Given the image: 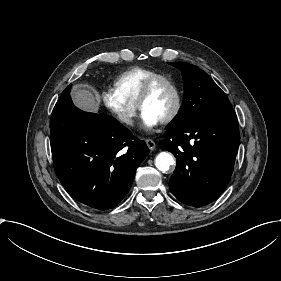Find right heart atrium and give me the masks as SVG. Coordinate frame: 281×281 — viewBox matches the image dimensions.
<instances>
[{
	"mask_svg": "<svg viewBox=\"0 0 281 281\" xmlns=\"http://www.w3.org/2000/svg\"><path fill=\"white\" fill-rule=\"evenodd\" d=\"M101 98L105 106L116 119L127 127H132L137 121V106L124 100L114 88L104 89Z\"/></svg>",
	"mask_w": 281,
	"mask_h": 281,
	"instance_id": "right-heart-atrium-1",
	"label": "right heart atrium"
}]
</instances>
